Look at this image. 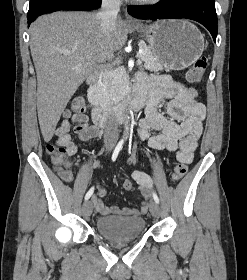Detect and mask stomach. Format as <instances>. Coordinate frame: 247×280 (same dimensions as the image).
Segmentation results:
<instances>
[{
	"label": "stomach",
	"instance_id": "stomach-1",
	"mask_svg": "<svg viewBox=\"0 0 247 280\" xmlns=\"http://www.w3.org/2000/svg\"><path fill=\"white\" fill-rule=\"evenodd\" d=\"M145 35L150 50L162 66L183 70L203 53L204 38L199 29L186 20H163L135 27Z\"/></svg>",
	"mask_w": 247,
	"mask_h": 280
}]
</instances>
